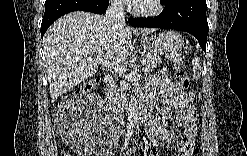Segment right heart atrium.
<instances>
[{
    "instance_id": "1",
    "label": "right heart atrium",
    "mask_w": 247,
    "mask_h": 156,
    "mask_svg": "<svg viewBox=\"0 0 247 156\" xmlns=\"http://www.w3.org/2000/svg\"><path fill=\"white\" fill-rule=\"evenodd\" d=\"M113 4L115 5V6H121L122 5V2L121 1H114L113 2Z\"/></svg>"
}]
</instances>
